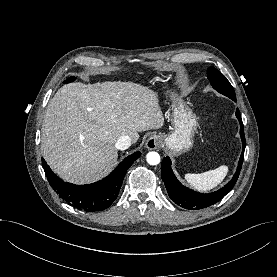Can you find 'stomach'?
I'll return each mask as SVG.
<instances>
[{
    "mask_svg": "<svg viewBox=\"0 0 277 277\" xmlns=\"http://www.w3.org/2000/svg\"><path fill=\"white\" fill-rule=\"evenodd\" d=\"M169 94L173 109L171 119L173 129L170 134L158 135V137L173 154L178 155L192 148L194 135L199 124L196 115L186 102L173 92H169Z\"/></svg>",
    "mask_w": 277,
    "mask_h": 277,
    "instance_id": "0dacf381",
    "label": "stomach"
}]
</instances>
